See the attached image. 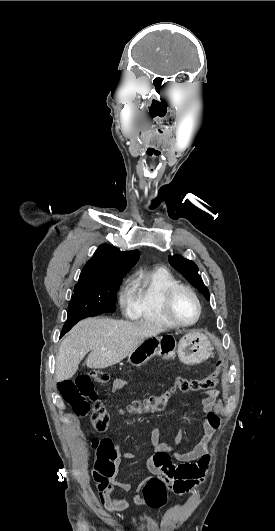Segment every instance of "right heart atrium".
I'll return each mask as SVG.
<instances>
[{
  "instance_id": "right-heart-atrium-1",
  "label": "right heart atrium",
  "mask_w": 275,
  "mask_h": 531,
  "mask_svg": "<svg viewBox=\"0 0 275 531\" xmlns=\"http://www.w3.org/2000/svg\"><path fill=\"white\" fill-rule=\"evenodd\" d=\"M137 304L136 285L131 278H127L120 290V305L127 315H132Z\"/></svg>"
}]
</instances>
